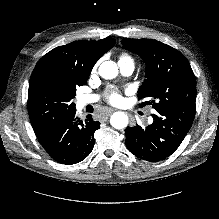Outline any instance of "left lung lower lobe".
<instances>
[{
	"instance_id": "0a47b994",
	"label": "left lung lower lobe",
	"mask_w": 219,
	"mask_h": 219,
	"mask_svg": "<svg viewBox=\"0 0 219 219\" xmlns=\"http://www.w3.org/2000/svg\"><path fill=\"white\" fill-rule=\"evenodd\" d=\"M156 111L153 123L146 128L137 125L125 129L128 150L150 162L163 160L176 151L193 123L195 103Z\"/></svg>"
}]
</instances>
